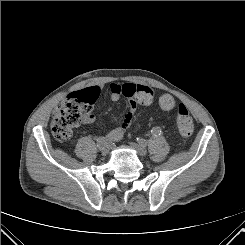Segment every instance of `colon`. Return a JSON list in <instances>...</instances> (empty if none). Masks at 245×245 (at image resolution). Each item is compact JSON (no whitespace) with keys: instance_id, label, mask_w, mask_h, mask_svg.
Returning a JSON list of instances; mask_svg holds the SVG:
<instances>
[{"instance_id":"colon-1","label":"colon","mask_w":245,"mask_h":245,"mask_svg":"<svg viewBox=\"0 0 245 245\" xmlns=\"http://www.w3.org/2000/svg\"><path fill=\"white\" fill-rule=\"evenodd\" d=\"M99 89L91 87L74 92L62 101L53 113L51 131L59 141H67L72 136L73 128L84 121L97 99ZM153 92L145 86L136 90V100L139 104L148 105L152 102ZM177 127L180 135L188 138L193 133V121L185 105L177 107Z\"/></svg>"}]
</instances>
